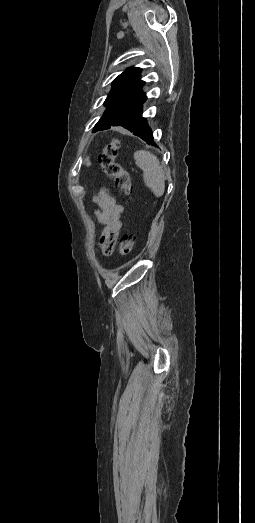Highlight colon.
<instances>
[{"instance_id": "1", "label": "colon", "mask_w": 255, "mask_h": 523, "mask_svg": "<svg viewBox=\"0 0 255 523\" xmlns=\"http://www.w3.org/2000/svg\"><path fill=\"white\" fill-rule=\"evenodd\" d=\"M120 147L119 140L115 139L105 146L98 157L103 171L114 180L115 186L124 196H129L132 190L130 173L125 170L117 161V154ZM134 246L133 235L129 232L122 234L117 252L120 255L129 254Z\"/></svg>"}]
</instances>
